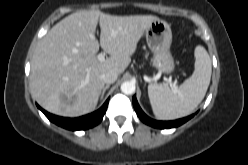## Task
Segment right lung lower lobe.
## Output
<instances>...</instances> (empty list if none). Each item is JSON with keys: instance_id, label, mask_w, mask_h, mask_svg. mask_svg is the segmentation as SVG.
I'll return each instance as SVG.
<instances>
[{"instance_id": "1", "label": "right lung lower lobe", "mask_w": 248, "mask_h": 165, "mask_svg": "<svg viewBox=\"0 0 248 165\" xmlns=\"http://www.w3.org/2000/svg\"><path fill=\"white\" fill-rule=\"evenodd\" d=\"M109 99L103 104V106L91 114L78 117V118H65L50 114L43 110L40 106L38 108L46 115V117L53 123L69 130H85L96 126L101 122L106 112Z\"/></svg>"}]
</instances>
